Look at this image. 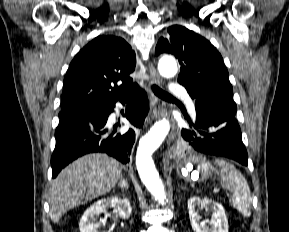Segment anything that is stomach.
<instances>
[{
    "label": "stomach",
    "instance_id": "stomach-1",
    "mask_svg": "<svg viewBox=\"0 0 289 232\" xmlns=\"http://www.w3.org/2000/svg\"><path fill=\"white\" fill-rule=\"evenodd\" d=\"M201 165L204 166V169L201 170L203 177L206 178L207 176H209L213 171H215V169L206 161L201 160Z\"/></svg>",
    "mask_w": 289,
    "mask_h": 232
}]
</instances>
